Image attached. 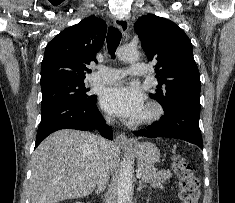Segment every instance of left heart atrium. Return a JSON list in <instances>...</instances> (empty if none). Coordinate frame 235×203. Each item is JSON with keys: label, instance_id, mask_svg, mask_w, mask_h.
Segmentation results:
<instances>
[{"label": "left heart atrium", "instance_id": "left-heart-atrium-1", "mask_svg": "<svg viewBox=\"0 0 235 203\" xmlns=\"http://www.w3.org/2000/svg\"><path fill=\"white\" fill-rule=\"evenodd\" d=\"M100 103L106 112L124 119H138L144 112L143 96L132 86L117 85L104 89Z\"/></svg>", "mask_w": 235, "mask_h": 203}]
</instances>
